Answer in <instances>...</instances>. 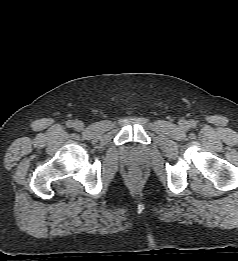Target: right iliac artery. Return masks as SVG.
Listing matches in <instances>:
<instances>
[{
  "label": "right iliac artery",
  "instance_id": "obj_1",
  "mask_svg": "<svg viewBox=\"0 0 238 261\" xmlns=\"http://www.w3.org/2000/svg\"><path fill=\"white\" fill-rule=\"evenodd\" d=\"M66 125L70 128L73 127L74 123L71 120H69L66 122Z\"/></svg>",
  "mask_w": 238,
  "mask_h": 261
}]
</instances>
